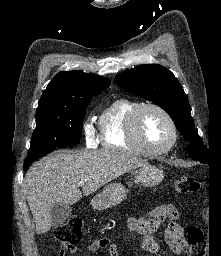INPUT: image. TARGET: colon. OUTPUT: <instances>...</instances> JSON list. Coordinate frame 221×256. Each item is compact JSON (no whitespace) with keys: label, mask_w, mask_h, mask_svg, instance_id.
<instances>
[{"label":"colon","mask_w":221,"mask_h":256,"mask_svg":"<svg viewBox=\"0 0 221 256\" xmlns=\"http://www.w3.org/2000/svg\"><path fill=\"white\" fill-rule=\"evenodd\" d=\"M200 188V183L190 176H182L175 180L174 189L180 194H193ZM55 238L63 248L73 250L82 237V220L71 217L56 227ZM187 251L189 256H206V240L199 227H191L187 234Z\"/></svg>","instance_id":"colon-1"}]
</instances>
